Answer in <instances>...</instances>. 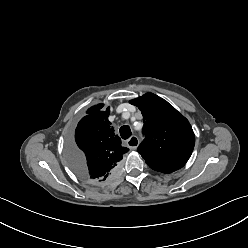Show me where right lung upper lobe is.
Returning a JSON list of instances; mask_svg holds the SVG:
<instances>
[{"label":"right lung upper lobe","instance_id":"right-lung-upper-lobe-1","mask_svg":"<svg viewBox=\"0 0 248 248\" xmlns=\"http://www.w3.org/2000/svg\"><path fill=\"white\" fill-rule=\"evenodd\" d=\"M102 107L103 104H98L89 108L75 131V141L82 154L81 173L90 182L103 179L118 167L129 150L121 145L108 120L110 108L101 111Z\"/></svg>","mask_w":248,"mask_h":248}]
</instances>
